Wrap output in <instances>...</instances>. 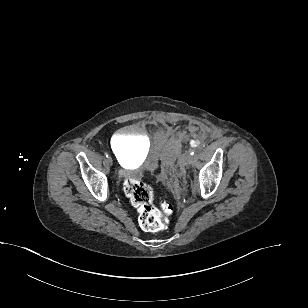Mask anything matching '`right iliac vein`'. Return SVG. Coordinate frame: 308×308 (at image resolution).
Instances as JSON below:
<instances>
[{"instance_id": "1", "label": "right iliac vein", "mask_w": 308, "mask_h": 308, "mask_svg": "<svg viewBox=\"0 0 308 308\" xmlns=\"http://www.w3.org/2000/svg\"><path fill=\"white\" fill-rule=\"evenodd\" d=\"M107 160H108V162H109L110 164H112L113 161H112V158H111V157H108Z\"/></svg>"}]
</instances>
